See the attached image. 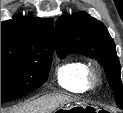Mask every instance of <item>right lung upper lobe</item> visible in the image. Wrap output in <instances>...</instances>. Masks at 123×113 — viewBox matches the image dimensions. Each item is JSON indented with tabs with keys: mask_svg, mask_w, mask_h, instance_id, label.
Listing matches in <instances>:
<instances>
[{
	"mask_svg": "<svg viewBox=\"0 0 123 113\" xmlns=\"http://www.w3.org/2000/svg\"><path fill=\"white\" fill-rule=\"evenodd\" d=\"M36 43L48 44L54 49V28L51 19L17 15L11 20L1 22V45Z\"/></svg>",
	"mask_w": 123,
	"mask_h": 113,
	"instance_id": "1",
	"label": "right lung upper lobe"
}]
</instances>
